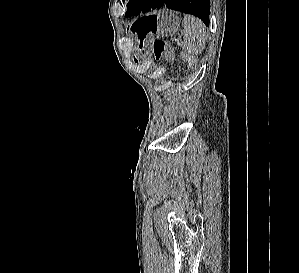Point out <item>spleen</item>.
I'll use <instances>...</instances> for the list:
<instances>
[{"instance_id": "obj_1", "label": "spleen", "mask_w": 299, "mask_h": 273, "mask_svg": "<svg viewBox=\"0 0 299 273\" xmlns=\"http://www.w3.org/2000/svg\"><path fill=\"white\" fill-rule=\"evenodd\" d=\"M182 36L181 46L188 54L197 55L203 51L207 34L205 25L201 20L193 16H185Z\"/></svg>"}]
</instances>
